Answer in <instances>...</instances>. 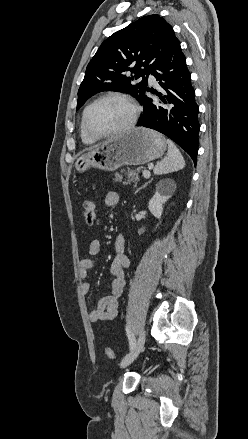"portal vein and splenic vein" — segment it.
<instances>
[{"mask_svg":"<svg viewBox=\"0 0 248 439\" xmlns=\"http://www.w3.org/2000/svg\"><path fill=\"white\" fill-rule=\"evenodd\" d=\"M150 171H148V170H144L143 171V176L145 177V178H149L150 177Z\"/></svg>","mask_w":248,"mask_h":439,"instance_id":"portal-vein-and-splenic-vein-1","label":"portal vein and splenic vein"}]
</instances>
